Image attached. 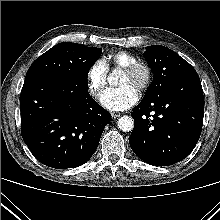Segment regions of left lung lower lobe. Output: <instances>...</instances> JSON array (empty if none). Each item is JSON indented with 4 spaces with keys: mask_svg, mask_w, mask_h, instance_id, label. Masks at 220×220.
I'll return each instance as SVG.
<instances>
[{
    "mask_svg": "<svg viewBox=\"0 0 220 220\" xmlns=\"http://www.w3.org/2000/svg\"><path fill=\"white\" fill-rule=\"evenodd\" d=\"M131 116L135 126L129 144L141 160L155 166L183 160L202 131L204 98L199 77L181 79L168 90L142 100Z\"/></svg>",
    "mask_w": 220,
    "mask_h": 220,
    "instance_id": "0a47b994",
    "label": "left lung lower lobe"
}]
</instances>
